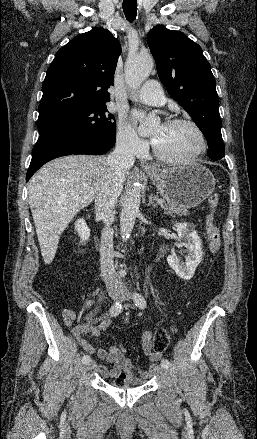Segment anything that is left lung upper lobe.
I'll return each mask as SVG.
<instances>
[{
  "mask_svg": "<svg viewBox=\"0 0 257 439\" xmlns=\"http://www.w3.org/2000/svg\"><path fill=\"white\" fill-rule=\"evenodd\" d=\"M147 43L169 94L204 134L212 160L225 156L215 79L201 47L180 31L157 25Z\"/></svg>",
  "mask_w": 257,
  "mask_h": 439,
  "instance_id": "obj_1",
  "label": "left lung upper lobe"
}]
</instances>
